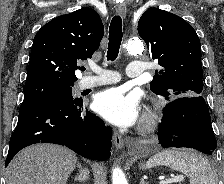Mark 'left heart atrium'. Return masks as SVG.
<instances>
[{
    "mask_svg": "<svg viewBox=\"0 0 224 184\" xmlns=\"http://www.w3.org/2000/svg\"><path fill=\"white\" fill-rule=\"evenodd\" d=\"M94 109L110 123L127 127L137 121L139 100L135 95H126L118 88H111L95 97Z\"/></svg>",
    "mask_w": 224,
    "mask_h": 184,
    "instance_id": "39dd6f15",
    "label": "left heart atrium"
}]
</instances>
